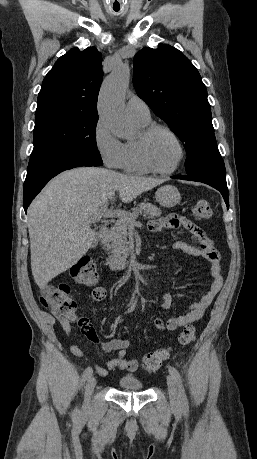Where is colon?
<instances>
[{
	"instance_id": "obj_1",
	"label": "colon",
	"mask_w": 257,
	"mask_h": 459,
	"mask_svg": "<svg viewBox=\"0 0 257 459\" xmlns=\"http://www.w3.org/2000/svg\"><path fill=\"white\" fill-rule=\"evenodd\" d=\"M194 216L197 220L206 221L212 216L210 203L206 199L197 201L194 207ZM71 277L79 284L92 286L98 281V273L95 263L89 258H82L71 269ZM40 302L43 306L51 309L53 314L61 320H70L74 317L77 304L70 296L68 284L47 285L42 288ZM195 340V329L185 327L178 336L180 345H189ZM169 352L165 348L157 349L148 353L143 359V367L147 371H155L168 358Z\"/></svg>"
}]
</instances>
